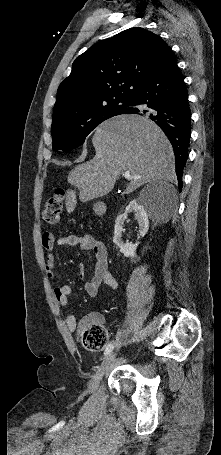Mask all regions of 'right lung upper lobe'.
<instances>
[{"instance_id":"obj_1","label":"right lung upper lobe","mask_w":221,"mask_h":455,"mask_svg":"<svg viewBox=\"0 0 221 455\" xmlns=\"http://www.w3.org/2000/svg\"><path fill=\"white\" fill-rule=\"evenodd\" d=\"M169 51L165 41L143 28H130L91 46L76 58L58 88L53 122L106 100L131 99Z\"/></svg>"}]
</instances>
